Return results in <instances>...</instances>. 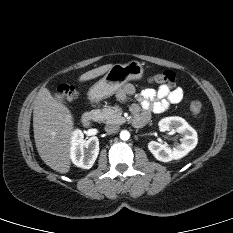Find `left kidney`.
Segmentation results:
<instances>
[{
  "label": "left kidney",
  "instance_id": "1",
  "mask_svg": "<svg viewBox=\"0 0 233 233\" xmlns=\"http://www.w3.org/2000/svg\"><path fill=\"white\" fill-rule=\"evenodd\" d=\"M159 128L161 131L177 132L182 136L181 143L173 147H168L156 141L148 143V149L159 161L169 162L181 159L193 150L198 143L196 130L181 117L163 118L159 122Z\"/></svg>",
  "mask_w": 233,
  "mask_h": 233
}]
</instances>
